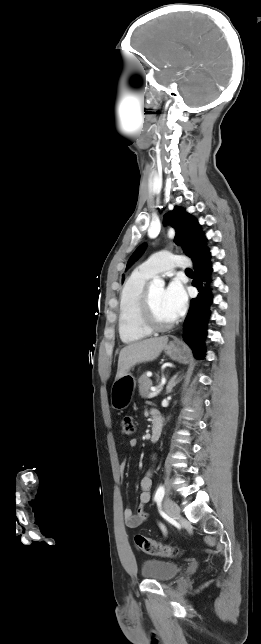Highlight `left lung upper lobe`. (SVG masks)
<instances>
[{"instance_id": "obj_1", "label": "left lung upper lobe", "mask_w": 261, "mask_h": 644, "mask_svg": "<svg viewBox=\"0 0 261 644\" xmlns=\"http://www.w3.org/2000/svg\"><path fill=\"white\" fill-rule=\"evenodd\" d=\"M164 222L170 223L176 231L175 242L181 246L184 253L193 262L201 261L210 255L206 247V237L200 230L197 220L186 213L181 207H175L173 211L164 215ZM145 249V245L139 246L130 257L127 268L137 260Z\"/></svg>"}]
</instances>
